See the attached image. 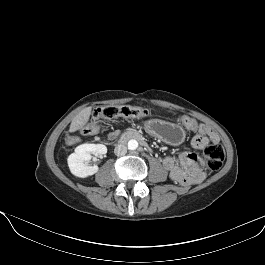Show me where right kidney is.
Returning <instances> with one entry per match:
<instances>
[{
  "instance_id": "right-kidney-1",
  "label": "right kidney",
  "mask_w": 265,
  "mask_h": 265,
  "mask_svg": "<svg viewBox=\"0 0 265 265\" xmlns=\"http://www.w3.org/2000/svg\"><path fill=\"white\" fill-rule=\"evenodd\" d=\"M107 153V148L103 144H82L75 149L68 159V166L70 172L79 178H86L94 175L98 172L97 165L88 166L85 161H89L92 158V154L95 156L104 155Z\"/></svg>"
}]
</instances>
